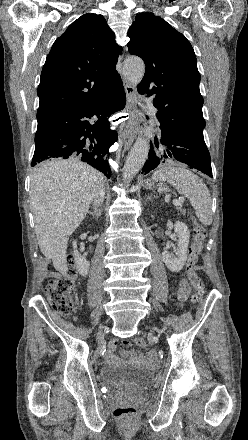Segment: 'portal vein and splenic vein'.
Listing matches in <instances>:
<instances>
[{
  "mask_svg": "<svg viewBox=\"0 0 248 440\" xmlns=\"http://www.w3.org/2000/svg\"><path fill=\"white\" fill-rule=\"evenodd\" d=\"M184 199H174L173 200V204L174 205H179V204H181V202L183 201Z\"/></svg>",
  "mask_w": 248,
  "mask_h": 440,
  "instance_id": "portal-vein-and-splenic-vein-1",
  "label": "portal vein and splenic vein"
}]
</instances>
